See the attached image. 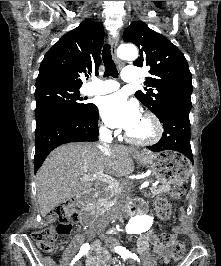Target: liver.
Segmentation results:
<instances>
[{
	"instance_id": "obj_1",
	"label": "liver",
	"mask_w": 221,
	"mask_h": 266,
	"mask_svg": "<svg viewBox=\"0 0 221 266\" xmlns=\"http://www.w3.org/2000/svg\"><path fill=\"white\" fill-rule=\"evenodd\" d=\"M133 168L131 151L122 146L113 147L110 157L92 143H69L56 148L36 175L42 217L60 203L100 184V180L81 181L84 175L103 171L105 175L121 178L132 173Z\"/></svg>"
}]
</instances>
